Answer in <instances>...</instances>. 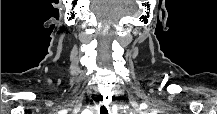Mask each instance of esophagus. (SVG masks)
Here are the masks:
<instances>
[{
  "label": "esophagus",
  "mask_w": 217,
  "mask_h": 114,
  "mask_svg": "<svg viewBox=\"0 0 217 114\" xmlns=\"http://www.w3.org/2000/svg\"><path fill=\"white\" fill-rule=\"evenodd\" d=\"M101 105L102 107L99 109L100 113L106 114L107 112H110V108L108 107L106 100H104Z\"/></svg>",
  "instance_id": "obj_1"
}]
</instances>
